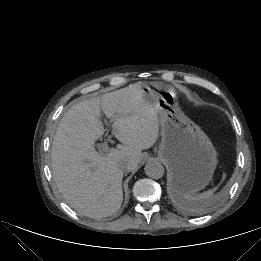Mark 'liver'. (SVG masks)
I'll use <instances>...</instances> for the list:
<instances>
[{
  "instance_id": "liver-1",
  "label": "liver",
  "mask_w": 261,
  "mask_h": 261,
  "mask_svg": "<svg viewBox=\"0 0 261 261\" xmlns=\"http://www.w3.org/2000/svg\"><path fill=\"white\" fill-rule=\"evenodd\" d=\"M143 83L84 100L71 107L56 130L52 150V173L59 192L77 212L105 217L122 204V164L135 169L142 150L159 136L157 104L145 96ZM113 122L112 133L121 142L106 155L94 143L105 129L101 113Z\"/></svg>"
}]
</instances>
